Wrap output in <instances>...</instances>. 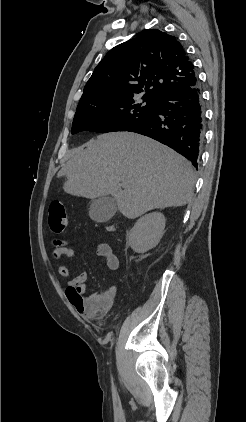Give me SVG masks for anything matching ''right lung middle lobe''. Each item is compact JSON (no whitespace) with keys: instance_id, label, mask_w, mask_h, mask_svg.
I'll return each instance as SVG.
<instances>
[{"instance_id":"obj_1","label":"right lung middle lobe","mask_w":246,"mask_h":422,"mask_svg":"<svg viewBox=\"0 0 246 422\" xmlns=\"http://www.w3.org/2000/svg\"><path fill=\"white\" fill-rule=\"evenodd\" d=\"M143 101L147 103L145 106L136 103L132 96H122L78 107L71 132L75 134L85 130L100 133L125 131L153 115V101Z\"/></svg>"}]
</instances>
